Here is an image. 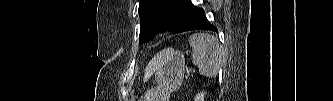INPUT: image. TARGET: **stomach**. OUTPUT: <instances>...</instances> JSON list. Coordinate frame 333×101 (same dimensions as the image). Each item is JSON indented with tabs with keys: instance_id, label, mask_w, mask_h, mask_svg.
Masks as SVG:
<instances>
[{
	"instance_id": "1",
	"label": "stomach",
	"mask_w": 333,
	"mask_h": 101,
	"mask_svg": "<svg viewBox=\"0 0 333 101\" xmlns=\"http://www.w3.org/2000/svg\"><path fill=\"white\" fill-rule=\"evenodd\" d=\"M159 68L155 74L157 86L145 93L142 101H169L170 94L179 89L185 71L183 53L168 48L158 54Z\"/></svg>"
}]
</instances>
